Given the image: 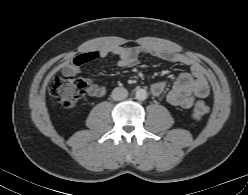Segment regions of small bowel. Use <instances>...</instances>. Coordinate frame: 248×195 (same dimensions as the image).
I'll return each mask as SVG.
<instances>
[{
  "instance_id": "small-bowel-1",
  "label": "small bowel",
  "mask_w": 248,
  "mask_h": 195,
  "mask_svg": "<svg viewBox=\"0 0 248 195\" xmlns=\"http://www.w3.org/2000/svg\"><path fill=\"white\" fill-rule=\"evenodd\" d=\"M141 52L152 55L172 63H180L190 67V72L181 73L175 81L172 89L167 94V101L172 106L189 109L197 98H206L210 93V87L204 69L197 62L170 50L159 47L146 46L139 48L113 47L88 52L77 57L71 64L63 67L64 75H74L80 72L81 66L94 59L114 57L120 67H134L138 63ZM89 95L103 97L106 88L97 83L92 76L83 79ZM165 88V81L158 80L151 84V92L154 96H160Z\"/></svg>"
}]
</instances>
